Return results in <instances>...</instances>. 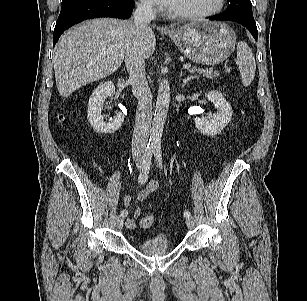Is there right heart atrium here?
<instances>
[{"label":"right heart atrium","instance_id":"right-heart-atrium-1","mask_svg":"<svg viewBox=\"0 0 307 301\" xmlns=\"http://www.w3.org/2000/svg\"><path fill=\"white\" fill-rule=\"evenodd\" d=\"M138 7L140 10L147 13H152L155 10L152 0H139Z\"/></svg>","mask_w":307,"mask_h":301}]
</instances>
